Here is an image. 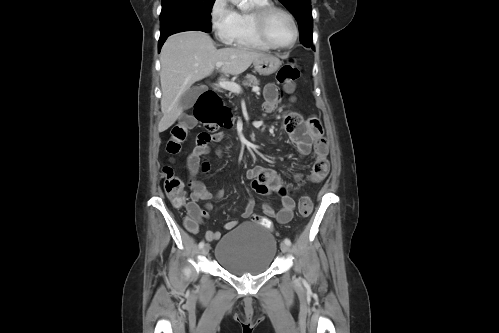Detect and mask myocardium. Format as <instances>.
Instances as JSON below:
<instances>
[{"mask_svg":"<svg viewBox=\"0 0 499 333\" xmlns=\"http://www.w3.org/2000/svg\"><path fill=\"white\" fill-rule=\"evenodd\" d=\"M273 12H281V13L285 14L289 18V20L292 24L293 38L286 45L275 44L270 39V37L268 35L267 28H266L267 21H268L269 16ZM252 18H253L254 26H255V29H256L258 35L271 48L280 49V50L288 49V48H291L292 46H294L295 43L297 42L298 37H299L298 25H297V22H296L294 15L286 8L278 6V5H274V4H268L264 7H260V8L255 9L252 13Z\"/></svg>","mask_w":499,"mask_h":333,"instance_id":"f54148a6","label":"myocardium"}]
</instances>
